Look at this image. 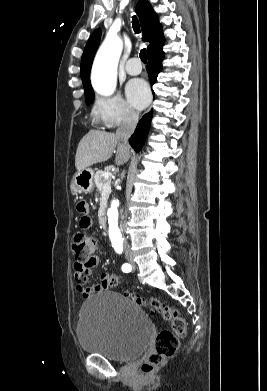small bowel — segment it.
<instances>
[{
  "label": "small bowel",
  "mask_w": 267,
  "mask_h": 391,
  "mask_svg": "<svg viewBox=\"0 0 267 391\" xmlns=\"http://www.w3.org/2000/svg\"><path fill=\"white\" fill-rule=\"evenodd\" d=\"M76 209L81 214L80 228L83 230L90 228L92 225V219L89 214L88 204L85 201H80L77 203ZM96 265L97 258H95V263L91 266H81L75 263L74 279L76 282V289L83 298H89L94 293L101 292L110 286L108 284V273L101 274L99 283L87 286L88 278Z\"/></svg>",
  "instance_id": "1"
}]
</instances>
